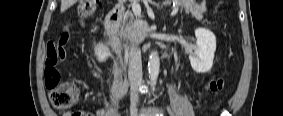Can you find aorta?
<instances>
[{
    "label": "aorta",
    "instance_id": "aorta-1",
    "mask_svg": "<svg viewBox=\"0 0 283 116\" xmlns=\"http://www.w3.org/2000/svg\"><path fill=\"white\" fill-rule=\"evenodd\" d=\"M160 70V60L157 51H152L149 56L148 61V72H149V79L153 85L156 84L158 75Z\"/></svg>",
    "mask_w": 283,
    "mask_h": 116
}]
</instances>
